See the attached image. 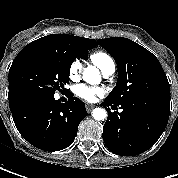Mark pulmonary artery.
I'll return each mask as SVG.
<instances>
[{"label": "pulmonary artery", "mask_w": 178, "mask_h": 178, "mask_svg": "<svg viewBox=\"0 0 178 178\" xmlns=\"http://www.w3.org/2000/svg\"><path fill=\"white\" fill-rule=\"evenodd\" d=\"M114 72H115V64L109 66V67H108L104 72H102V73H103V76L107 78V77L112 76V75L114 74Z\"/></svg>", "instance_id": "pulmonary-artery-1"}]
</instances>
